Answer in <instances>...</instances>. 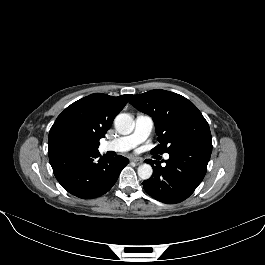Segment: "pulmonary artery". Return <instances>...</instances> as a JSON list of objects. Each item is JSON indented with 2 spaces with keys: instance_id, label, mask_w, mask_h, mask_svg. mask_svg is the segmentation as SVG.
Instances as JSON below:
<instances>
[{
  "instance_id": "obj_1",
  "label": "pulmonary artery",
  "mask_w": 265,
  "mask_h": 265,
  "mask_svg": "<svg viewBox=\"0 0 265 265\" xmlns=\"http://www.w3.org/2000/svg\"><path fill=\"white\" fill-rule=\"evenodd\" d=\"M154 128V121L148 115H139L136 118V126L133 133L122 136L111 141H107L102 145L104 151L126 152L134 148L148 138ZM164 157L169 159V154Z\"/></svg>"
}]
</instances>
